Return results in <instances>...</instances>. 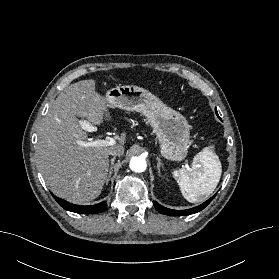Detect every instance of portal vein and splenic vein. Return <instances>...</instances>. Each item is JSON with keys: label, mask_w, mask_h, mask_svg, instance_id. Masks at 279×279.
I'll return each mask as SVG.
<instances>
[{"label": "portal vein and splenic vein", "mask_w": 279, "mask_h": 279, "mask_svg": "<svg viewBox=\"0 0 279 279\" xmlns=\"http://www.w3.org/2000/svg\"><path fill=\"white\" fill-rule=\"evenodd\" d=\"M82 128L89 132L94 131V128L89 123L86 122H82ZM80 144L85 147H99V146L105 147V146H113L114 144H116V141L111 137H106L103 140L98 139V140H93L88 142H81Z\"/></svg>", "instance_id": "18ae733b"}]
</instances>
